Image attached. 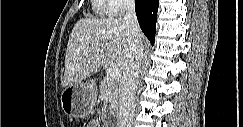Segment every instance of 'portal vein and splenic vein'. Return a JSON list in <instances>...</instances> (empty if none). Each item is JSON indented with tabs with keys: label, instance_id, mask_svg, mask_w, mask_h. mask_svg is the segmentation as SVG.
Masks as SVG:
<instances>
[{
	"label": "portal vein and splenic vein",
	"instance_id": "portal-vein-and-splenic-vein-1",
	"mask_svg": "<svg viewBox=\"0 0 243 127\" xmlns=\"http://www.w3.org/2000/svg\"><path fill=\"white\" fill-rule=\"evenodd\" d=\"M84 53L88 54L87 51H85ZM120 76H121V70L119 68H112V69H110L109 78L115 80V79H119Z\"/></svg>",
	"mask_w": 243,
	"mask_h": 127
}]
</instances>
